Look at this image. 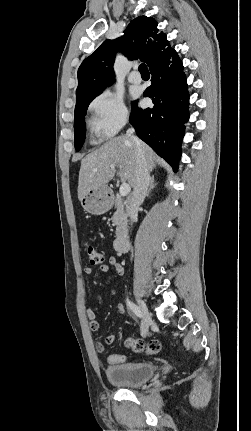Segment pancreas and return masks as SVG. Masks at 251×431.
<instances>
[{"label": "pancreas", "mask_w": 251, "mask_h": 431, "mask_svg": "<svg viewBox=\"0 0 251 431\" xmlns=\"http://www.w3.org/2000/svg\"><path fill=\"white\" fill-rule=\"evenodd\" d=\"M115 208L116 212L112 216L113 226L116 227V237H123L126 234V226H127V217H128V208L122 202L120 196L116 195L115 197Z\"/></svg>", "instance_id": "cf45deb5"}]
</instances>
